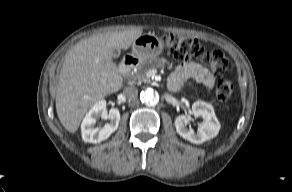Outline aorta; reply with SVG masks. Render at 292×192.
Returning a JSON list of instances; mask_svg holds the SVG:
<instances>
[{"mask_svg":"<svg viewBox=\"0 0 292 192\" xmlns=\"http://www.w3.org/2000/svg\"><path fill=\"white\" fill-rule=\"evenodd\" d=\"M140 100L147 106H155L159 102V94L152 88H147L140 93Z\"/></svg>","mask_w":292,"mask_h":192,"instance_id":"aorta-1","label":"aorta"}]
</instances>
